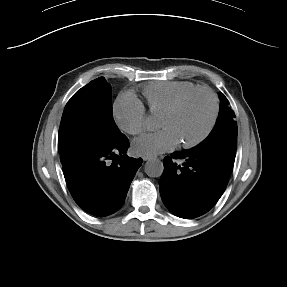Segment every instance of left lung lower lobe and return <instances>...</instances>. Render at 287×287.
Returning <instances> with one entry per match:
<instances>
[{
    "instance_id": "left-lung-lower-lobe-1",
    "label": "left lung lower lobe",
    "mask_w": 287,
    "mask_h": 287,
    "mask_svg": "<svg viewBox=\"0 0 287 287\" xmlns=\"http://www.w3.org/2000/svg\"><path fill=\"white\" fill-rule=\"evenodd\" d=\"M175 159H183L180 166ZM230 175L204 152L190 149L164 158L159 180L165 206L174 215L192 219L208 212L222 196Z\"/></svg>"
}]
</instances>
